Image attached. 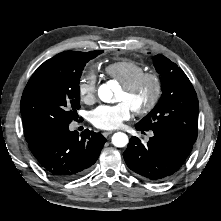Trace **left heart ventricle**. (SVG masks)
<instances>
[{
    "label": "left heart ventricle",
    "mask_w": 221,
    "mask_h": 221,
    "mask_svg": "<svg viewBox=\"0 0 221 221\" xmlns=\"http://www.w3.org/2000/svg\"><path fill=\"white\" fill-rule=\"evenodd\" d=\"M152 95V86L149 83L144 84L134 93L125 92L122 88L117 94L118 102H127L132 109L144 106Z\"/></svg>",
    "instance_id": "obj_1"
}]
</instances>
